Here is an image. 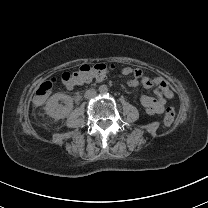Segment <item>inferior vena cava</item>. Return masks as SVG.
<instances>
[{"instance_id": "1", "label": "inferior vena cava", "mask_w": 208, "mask_h": 208, "mask_svg": "<svg viewBox=\"0 0 208 208\" xmlns=\"http://www.w3.org/2000/svg\"><path fill=\"white\" fill-rule=\"evenodd\" d=\"M97 95L96 91L94 89H88L86 90L84 96L87 99L94 98Z\"/></svg>"}]
</instances>
